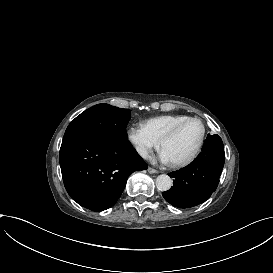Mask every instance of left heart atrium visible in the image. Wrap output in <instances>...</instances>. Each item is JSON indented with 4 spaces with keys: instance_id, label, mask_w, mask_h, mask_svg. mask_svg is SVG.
I'll return each mask as SVG.
<instances>
[{
    "instance_id": "1",
    "label": "left heart atrium",
    "mask_w": 273,
    "mask_h": 273,
    "mask_svg": "<svg viewBox=\"0 0 273 273\" xmlns=\"http://www.w3.org/2000/svg\"><path fill=\"white\" fill-rule=\"evenodd\" d=\"M160 160L164 163H169V159L166 155V153L162 150L161 154H160Z\"/></svg>"
}]
</instances>
